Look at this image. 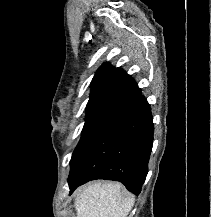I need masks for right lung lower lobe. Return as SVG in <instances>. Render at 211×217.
Instances as JSON below:
<instances>
[{
    "label": "right lung lower lobe",
    "instance_id": "right-lung-lower-lobe-1",
    "mask_svg": "<svg viewBox=\"0 0 211 217\" xmlns=\"http://www.w3.org/2000/svg\"><path fill=\"white\" fill-rule=\"evenodd\" d=\"M154 125L150 105L140 100L115 118L70 172V194L95 179L115 180L139 194L148 173Z\"/></svg>",
    "mask_w": 211,
    "mask_h": 217
}]
</instances>
